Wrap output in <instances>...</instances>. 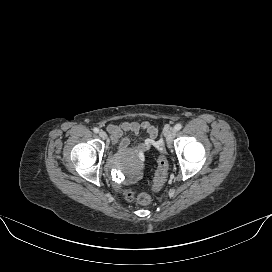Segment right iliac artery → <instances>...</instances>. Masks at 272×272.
Wrapping results in <instances>:
<instances>
[{
  "label": "right iliac artery",
  "mask_w": 272,
  "mask_h": 272,
  "mask_svg": "<svg viewBox=\"0 0 272 272\" xmlns=\"http://www.w3.org/2000/svg\"><path fill=\"white\" fill-rule=\"evenodd\" d=\"M93 131H94L95 133H98V132H99V129H98V128H94Z\"/></svg>",
  "instance_id": "82829eb1"
}]
</instances>
